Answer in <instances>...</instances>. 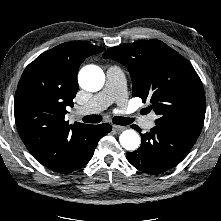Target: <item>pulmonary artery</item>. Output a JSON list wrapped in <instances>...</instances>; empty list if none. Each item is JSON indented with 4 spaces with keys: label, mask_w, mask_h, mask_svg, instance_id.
Masks as SVG:
<instances>
[{
    "label": "pulmonary artery",
    "mask_w": 221,
    "mask_h": 221,
    "mask_svg": "<svg viewBox=\"0 0 221 221\" xmlns=\"http://www.w3.org/2000/svg\"><path fill=\"white\" fill-rule=\"evenodd\" d=\"M116 102L122 108L127 106V93L125 77L122 70L117 66H110L106 71V83L104 88L94 95L88 104L81 107L80 114L98 113ZM155 116L149 115L143 120V126L147 129L154 127Z\"/></svg>",
    "instance_id": "pulmonary-artery-1"
}]
</instances>
